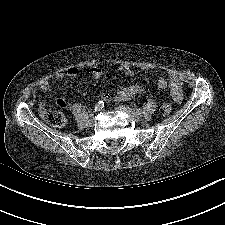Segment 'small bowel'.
Masks as SVG:
<instances>
[{
    "instance_id": "obj_1",
    "label": "small bowel",
    "mask_w": 225,
    "mask_h": 225,
    "mask_svg": "<svg viewBox=\"0 0 225 225\" xmlns=\"http://www.w3.org/2000/svg\"><path fill=\"white\" fill-rule=\"evenodd\" d=\"M120 70L127 76L132 77L134 75L133 70L128 65H122L120 66ZM91 76L94 79H99L102 76V70L99 67H93L90 71ZM79 75V69L77 67H69L65 70H58L54 74V78L56 80H62L65 77L69 78H76ZM169 86L171 90V94L173 99L176 102H180L182 100L183 94H182V85L178 77L171 76L170 80L167 81L164 78H160L158 80V87L161 89H165ZM39 89L42 92H48L50 90V83L47 80H42L39 83ZM142 92V88L137 84H131L122 88H119L115 94L114 98L117 101H128L132 99L134 96L140 94ZM101 99L104 102L110 101V96L108 94H101ZM57 104L59 106H65L66 100L63 98H60L57 100ZM63 104V105H62ZM40 110L43 111L45 109V103L41 101L39 103Z\"/></svg>"
}]
</instances>
